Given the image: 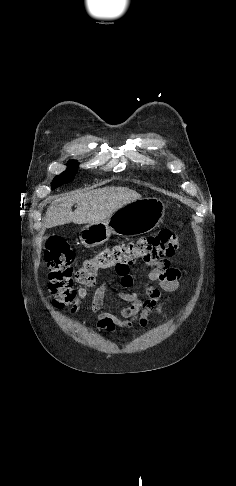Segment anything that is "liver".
<instances>
[{
    "instance_id": "obj_1",
    "label": "liver",
    "mask_w": 236,
    "mask_h": 486,
    "mask_svg": "<svg viewBox=\"0 0 236 486\" xmlns=\"http://www.w3.org/2000/svg\"><path fill=\"white\" fill-rule=\"evenodd\" d=\"M141 195L126 187H104L89 191H80L54 200L48 207L45 216L47 228L68 223H99L110 217L115 211L141 199ZM77 208L72 212V206Z\"/></svg>"
}]
</instances>
